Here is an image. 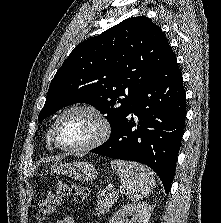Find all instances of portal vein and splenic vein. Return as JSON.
<instances>
[{
	"label": "portal vein and splenic vein",
	"instance_id": "1",
	"mask_svg": "<svg viewBox=\"0 0 221 223\" xmlns=\"http://www.w3.org/2000/svg\"><path fill=\"white\" fill-rule=\"evenodd\" d=\"M109 190H111V191H112V193H114V189H113V188H109Z\"/></svg>",
	"mask_w": 221,
	"mask_h": 223
}]
</instances>
